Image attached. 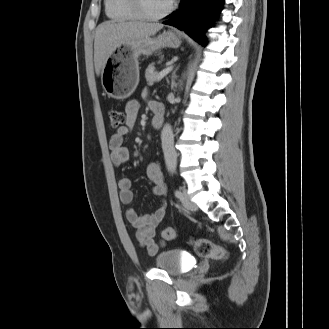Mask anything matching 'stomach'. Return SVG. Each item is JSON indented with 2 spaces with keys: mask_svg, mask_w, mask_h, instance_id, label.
Listing matches in <instances>:
<instances>
[{
  "mask_svg": "<svg viewBox=\"0 0 329 329\" xmlns=\"http://www.w3.org/2000/svg\"><path fill=\"white\" fill-rule=\"evenodd\" d=\"M180 44L179 37L172 31H165L157 37L120 43L105 62L101 72L105 93L118 100L128 98L139 83V56H150L164 47L178 48Z\"/></svg>",
  "mask_w": 329,
  "mask_h": 329,
  "instance_id": "1",
  "label": "stomach"
}]
</instances>
